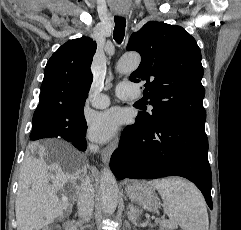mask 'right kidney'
Instances as JSON below:
<instances>
[{"label": "right kidney", "mask_w": 241, "mask_h": 230, "mask_svg": "<svg viewBox=\"0 0 241 230\" xmlns=\"http://www.w3.org/2000/svg\"><path fill=\"white\" fill-rule=\"evenodd\" d=\"M43 230H50V229H48V228H44Z\"/></svg>", "instance_id": "obj_1"}]
</instances>
